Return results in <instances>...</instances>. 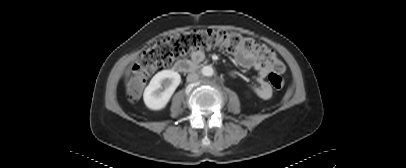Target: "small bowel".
<instances>
[{"label":"small bowel","instance_id":"c3829d8e","mask_svg":"<svg viewBox=\"0 0 406 168\" xmlns=\"http://www.w3.org/2000/svg\"><path fill=\"white\" fill-rule=\"evenodd\" d=\"M233 56L237 64L244 69H254L257 71V86H252L251 90L254 94L261 99H269L272 96V89L266 81V76L272 70V67L268 64H264L252 53L237 52L233 53ZM204 58L202 52H195L192 55V59L195 62H200Z\"/></svg>","mask_w":406,"mask_h":168}]
</instances>
